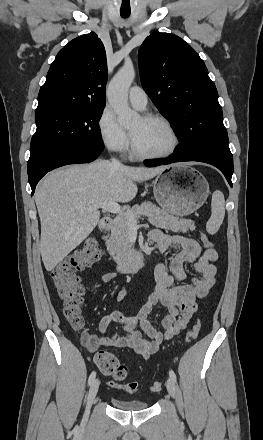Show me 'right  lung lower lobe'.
<instances>
[{"mask_svg":"<svg viewBox=\"0 0 263 440\" xmlns=\"http://www.w3.org/2000/svg\"><path fill=\"white\" fill-rule=\"evenodd\" d=\"M103 149V144H96L77 147L71 152H68V150H62L53 154L42 165L28 172L32 195L34 194L37 183L47 172L68 164L92 162L101 154Z\"/></svg>","mask_w":263,"mask_h":440,"instance_id":"obj_1","label":"right lung lower lobe"}]
</instances>
